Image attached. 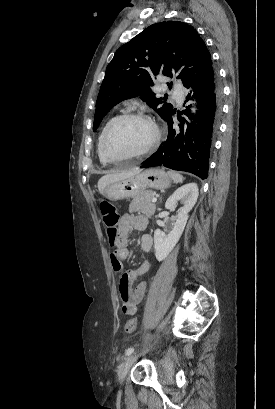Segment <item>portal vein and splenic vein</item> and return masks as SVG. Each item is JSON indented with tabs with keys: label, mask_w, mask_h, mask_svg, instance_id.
<instances>
[{
	"label": "portal vein and splenic vein",
	"mask_w": 275,
	"mask_h": 409,
	"mask_svg": "<svg viewBox=\"0 0 275 409\" xmlns=\"http://www.w3.org/2000/svg\"><path fill=\"white\" fill-rule=\"evenodd\" d=\"M156 200H157V198H155V196H154V198H152V202H156Z\"/></svg>",
	"instance_id": "portal-vein-and-splenic-vein-1"
}]
</instances>
